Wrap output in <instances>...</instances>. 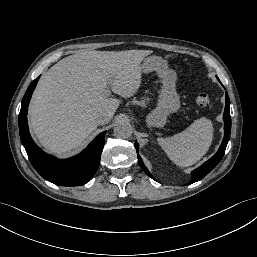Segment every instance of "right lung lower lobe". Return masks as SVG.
<instances>
[{"instance_id":"right-lung-lower-lobe-1","label":"right lung lower lobe","mask_w":257,"mask_h":257,"mask_svg":"<svg viewBox=\"0 0 257 257\" xmlns=\"http://www.w3.org/2000/svg\"><path fill=\"white\" fill-rule=\"evenodd\" d=\"M38 79L30 84L22 100L19 113L21 142L31 164L44 179L61 186L84 185L92 179L99 166L106 131L97 135L81 153L70 159H57L44 153L32 140L27 124L28 105Z\"/></svg>"}]
</instances>
